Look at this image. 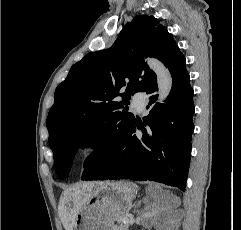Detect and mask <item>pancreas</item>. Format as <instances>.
I'll use <instances>...</instances> for the list:
<instances>
[{
    "label": "pancreas",
    "mask_w": 241,
    "mask_h": 230,
    "mask_svg": "<svg viewBox=\"0 0 241 230\" xmlns=\"http://www.w3.org/2000/svg\"><path fill=\"white\" fill-rule=\"evenodd\" d=\"M113 230H128V224L115 225Z\"/></svg>",
    "instance_id": "1"
}]
</instances>
